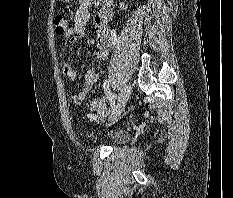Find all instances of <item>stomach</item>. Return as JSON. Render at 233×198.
<instances>
[{
  "instance_id": "stomach-1",
  "label": "stomach",
  "mask_w": 233,
  "mask_h": 198,
  "mask_svg": "<svg viewBox=\"0 0 233 198\" xmlns=\"http://www.w3.org/2000/svg\"><path fill=\"white\" fill-rule=\"evenodd\" d=\"M61 2H65V3H68V2H70V1H72V0H60Z\"/></svg>"
}]
</instances>
